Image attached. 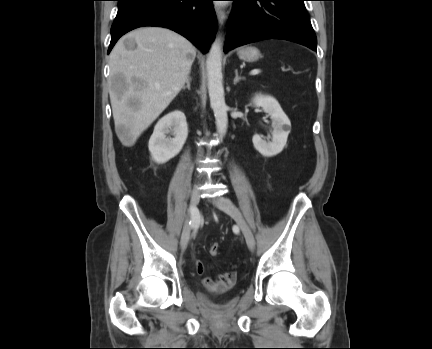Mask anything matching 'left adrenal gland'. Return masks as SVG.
I'll return each instance as SVG.
<instances>
[{
    "instance_id": "1",
    "label": "left adrenal gland",
    "mask_w": 432,
    "mask_h": 349,
    "mask_svg": "<svg viewBox=\"0 0 432 349\" xmlns=\"http://www.w3.org/2000/svg\"><path fill=\"white\" fill-rule=\"evenodd\" d=\"M240 80H244V78H243V77H240V76L238 75V70L236 69V70H235L234 85H236Z\"/></svg>"
}]
</instances>
